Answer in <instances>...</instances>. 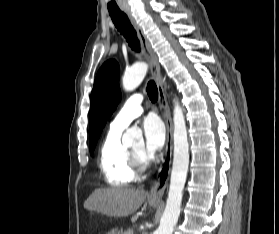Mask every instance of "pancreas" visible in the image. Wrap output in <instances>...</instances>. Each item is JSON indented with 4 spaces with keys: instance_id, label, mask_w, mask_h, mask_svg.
I'll return each instance as SVG.
<instances>
[{
    "instance_id": "obj_1",
    "label": "pancreas",
    "mask_w": 279,
    "mask_h": 234,
    "mask_svg": "<svg viewBox=\"0 0 279 234\" xmlns=\"http://www.w3.org/2000/svg\"><path fill=\"white\" fill-rule=\"evenodd\" d=\"M115 234H117V233H115ZM122 234H133V232H132V230L129 229V230L123 232Z\"/></svg>"
}]
</instances>
